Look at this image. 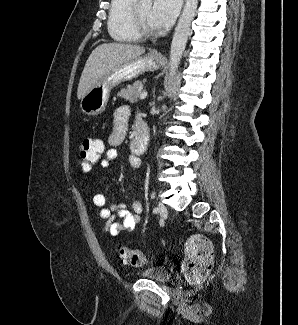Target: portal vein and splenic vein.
Wrapping results in <instances>:
<instances>
[{
	"mask_svg": "<svg viewBox=\"0 0 298 325\" xmlns=\"http://www.w3.org/2000/svg\"><path fill=\"white\" fill-rule=\"evenodd\" d=\"M147 94H148L147 90H143V92H140V94H139L140 100H143V98H146Z\"/></svg>",
	"mask_w": 298,
	"mask_h": 325,
	"instance_id": "18ae733b",
	"label": "portal vein and splenic vein"
}]
</instances>
